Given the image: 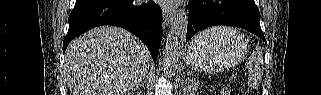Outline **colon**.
<instances>
[{"label":"colon","instance_id":"5ec220e1","mask_svg":"<svg viewBox=\"0 0 321 95\" xmlns=\"http://www.w3.org/2000/svg\"><path fill=\"white\" fill-rule=\"evenodd\" d=\"M221 95H235V92L228 88V87H224L221 92H220Z\"/></svg>","mask_w":321,"mask_h":95}]
</instances>
